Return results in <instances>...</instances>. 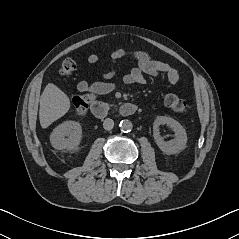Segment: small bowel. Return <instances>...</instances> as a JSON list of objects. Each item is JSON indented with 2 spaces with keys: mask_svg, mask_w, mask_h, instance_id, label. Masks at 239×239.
I'll list each match as a JSON object with an SVG mask.
<instances>
[{
  "mask_svg": "<svg viewBox=\"0 0 239 239\" xmlns=\"http://www.w3.org/2000/svg\"><path fill=\"white\" fill-rule=\"evenodd\" d=\"M131 57L136 66L133 67L128 73H126L122 81L125 84H143L145 82L144 75L157 77L160 74H165L167 80L172 85H175L179 81V73L176 69L171 67L165 62L152 58L144 51L135 50L127 52L122 48H117L111 52L110 58L113 64L125 57ZM99 61L97 54H91L88 56V62L90 64H96ZM115 70L109 69L103 72V81H97L89 83L86 80H80L77 83V89L80 92H90L93 94H107L112 92L116 88V82L114 80Z\"/></svg>",
  "mask_w": 239,
  "mask_h": 239,
  "instance_id": "obj_1",
  "label": "small bowel"
}]
</instances>
